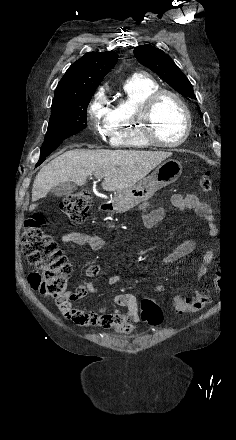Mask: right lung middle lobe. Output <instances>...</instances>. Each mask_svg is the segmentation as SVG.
<instances>
[{
  "label": "right lung middle lobe",
  "instance_id": "right-lung-middle-lobe-1",
  "mask_svg": "<svg viewBox=\"0 0 236 440\" xmlns=\"http://www.w3.org/2000/svg\"><path fill=\"white\" fill-rule=\"evenodd\" d=\"M92 94L52 104L51 116L42 146L62 143L86 127V108Z\"/></svg>",
  "mask_w": 236,
  "mask_h": 440
}]
</instances>
